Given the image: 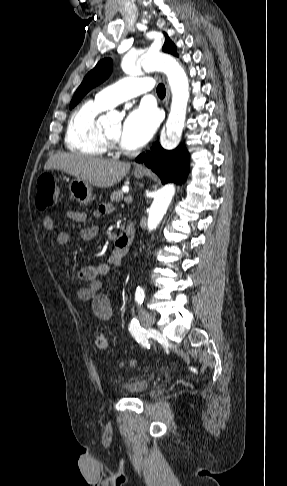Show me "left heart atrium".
Masks as SVG:
<instances>
[{
    "mask_svg": "<svg viewBox=\"0 0 287 486\" xmlns=\"http://www.w3.org/2000/svg\"><path fill=\"white\" fill-rule=\"evenodd\" d=\"M158 126V115L154 108L143 104L125 118L120 142L126 149H137L145 145Z\"/></svg>",
    "mask_w": 287,
    "mask_h": 486,
    "instance_id": "obj_1",
    "label": "left heart atrium"
}]
</instances>
